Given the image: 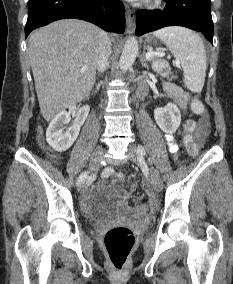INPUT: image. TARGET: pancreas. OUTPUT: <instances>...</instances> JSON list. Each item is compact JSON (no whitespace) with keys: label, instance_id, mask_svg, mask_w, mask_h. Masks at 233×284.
I'll use <instances>...</instances> for the list:
<instances>
[{"label":"pancreas","instance_id":"obj_1","mask_svg":"<svg viewBox=\"0 0 233 284\" xmlns=\"http://www.w3.org/2000/svg\"><path fill=\"white\" fill-rule=\"evenodd\" d=\"M151 61L155 71H161V69L167 65L164 60L158 59L157 56L153 57ZM158 65L160 66L158 67Z\"/></svg>","mask_w":233,"mask_h":284}]
</instances>
